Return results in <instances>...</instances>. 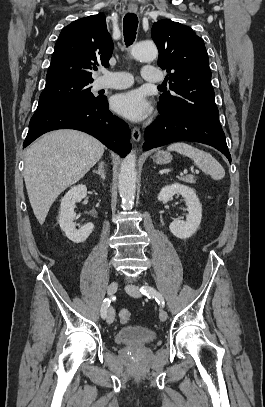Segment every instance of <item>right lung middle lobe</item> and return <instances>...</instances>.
I'll list each match as a JSON object with an SVG mask.
<instances>
[{
	"instance_id": "right-lung-middle-lobe-1",
	"label": "right lung middle lobe",
	"mask_w": 265,
	"mask_h": 407,
	"mask_svg": "<svg viewBox=\"0 0 265 407\" xmlns=\"http://www.w3.org/2000/svg\"><path fill=\"white\" fill-rule=\"evenodd\" d=\"M90 83L76 80L47 81L34 114L93 102L96 97L91 93Z\"/></svg>"
}]
</instances>
